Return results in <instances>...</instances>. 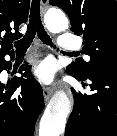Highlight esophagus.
<instances>
[{
  "instance_id": "esophagus-1",
  "label": "esophagus",
  "mask_w": 117,
  "mask_h": 136,
  "mask_svg": "<svg viewBox=\"0 0 117 136\" xmlns=\"http://www.w3.org/2000/svg\"><path fill=\"white\" fill-rule=\"evenodd\" d=\"M48 3V0H41V4L45 7ZM52 95V90L49 87L43 86V96L44 101L47 103Z\"/></svg>"
}]
</instances>
